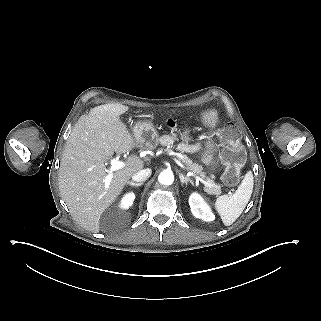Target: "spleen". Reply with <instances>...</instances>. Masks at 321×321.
I'll use <instances>...</instances> for the list:
<instances>
[{
    "label": "spleen",
    "mask_w": 321,
    "mask_h": 321,
    "mask_svg": "<svg viewBox=\"0 0 321 321\" xmlns=\"http://www.w3.org/2000/svg\"><path fill=\"white\" fill-rule=\"evenodd\" d=\"M253 190V174L249 170L233 195L219 196L213 205L225 226L232 225L248 204Z\"/></svg>",
    "instance_id": "1"
}]
</instances>
